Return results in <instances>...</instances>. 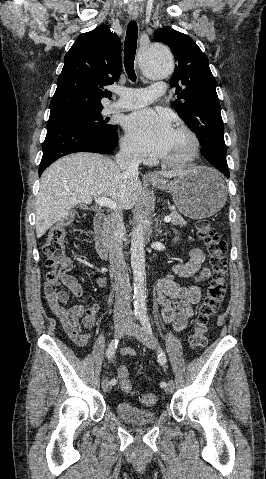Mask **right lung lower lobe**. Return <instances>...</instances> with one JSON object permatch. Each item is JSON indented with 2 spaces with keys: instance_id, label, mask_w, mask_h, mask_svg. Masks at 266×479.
Here are the masks:
<instances>
[{
  "instance_id": "obj_1",
  "label": "right lung lower lobe",
  "mask_w": 266,
  "mask_h": 479,
  "mask_svg": "<svg viewBox=\"0 0 266 479\" xmlns=\"http://www.w3.org/2000/svg\"><path fill=\"white\" fill-rule=\"evenodd\" d=\"M117 145V133L90 129L74 123L50 121L43 144L39 176L54 161L75 152L107 154Z\"/></svg>"
}]
</instances>
